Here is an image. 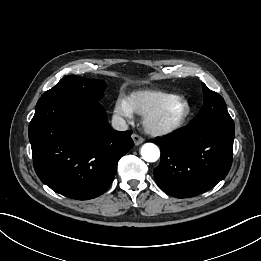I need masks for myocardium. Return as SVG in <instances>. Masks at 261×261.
Returning <instances> with one entry per match:
<instances>
[{"instance_id": "myocardium-1", "label": "myocardium", "mask_w": 261, "mask_h": 261, "mask_svg": "<svg viewBox=\"0 0 261 261\" xmlns=\"http://www.w3.org/2000/svg\"><path fill=\"white\" fill-rule=\"evenodd\" d=\"M172 104L182 106V111L175 118L166 120L164 115ZM190 105L184 98L172 95L152 111L144 115L143 125L147 132L153 135H166L178 130L190 114Z\"/></svg>"}]
</instances>
